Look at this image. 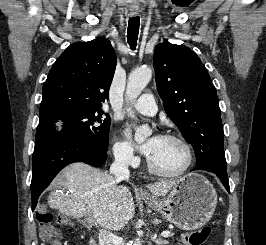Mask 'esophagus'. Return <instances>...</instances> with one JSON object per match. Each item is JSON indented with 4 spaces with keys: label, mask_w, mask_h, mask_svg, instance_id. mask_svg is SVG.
Instances as JSON below:
<instances>
[{
    "label": "esophagus",
    "mask_w": 266,
    "mask_h": 245,
    "mask_svg": "<svg viewBox=\"0 0 266 245\" xmlns=\"http://www.w3.org/2000/svg\"><path fill=\"white\" fill-rule=\"evenodd\" d=\"M135 15H137V13H131V16H135ZM139 193L144 194L145 192L143 189H139Z\"/></svg>",
    "instance_id": "1"
}]
</instances>
